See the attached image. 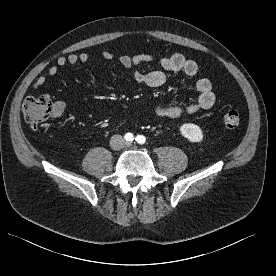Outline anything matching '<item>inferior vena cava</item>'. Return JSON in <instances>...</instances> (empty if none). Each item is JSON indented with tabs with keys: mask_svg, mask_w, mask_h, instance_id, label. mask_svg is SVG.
<instances>
[{
	"mask_svg": "<svg viewBox=\"0 0 276 276\" xmlns=\"http://www.w3.org/2000/svg\"><path fill=\"white\" fill-rule=\"evenodd\" d=\"M110 145L114 150H118L125 145V141L121 135H113L110 140Z\"/></svg>",
	"mask_w": 276,
	"mask_h": 276,
	"instance_id": "obj_1",
	"label": "inferior vena cava"
}]
</instances>
